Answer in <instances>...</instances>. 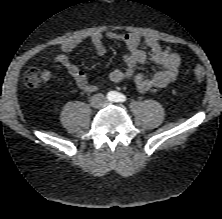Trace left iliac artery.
I'll use <instances>...</instances> for the list:
<instances>
[{
    "label": "left iliac artery",
    "instance_id": "1",
    "mask_svg": "<svg viewBox=\"0 0 222 219\" xmlns=\"http://www.w3.org/2000/svg\"><path fill=\"white\" fill-rule=\"evenodd\" d=\"M126 100H127V98L125 95H123L121 93H115V101L116 102H124Z\"/></svg>",
    "mask_w": 222,
    "mask_h": 219
}]
</instances>
